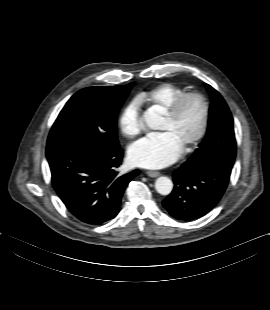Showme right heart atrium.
Returning a JSON list of instances; mask_svg holds the SVG:
<instances>
[{
	"label": "right heart atrium",
	"mask_w": 270,
	"mask_h": 310,
	"mask_svg": "<svg viewBox=\"0 0 270 310\" xmlns=\"http://www.w3.org/2000/svg\"><path fill=\"white\" fill-rule=\"evenodd\" d=\"M119 126L127 137H134L141 132L143 122L141 103L138 99H133L125 105L119 118Z\"/></svg>",
	"instance_id": "1"
}]
</instances>
